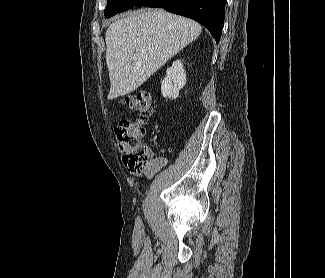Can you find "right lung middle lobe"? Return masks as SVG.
Returning a JSON list of instances; mask_svg holds the SVG:
<instances>
[{
    "label": "right lung middle lobe",
    "instance_id": "1",
    "mask_svg": "<svg viewBox=\"0 0 325 278\" xmlns=\"http://www.w3.org/2000/svg\"><path fill=\"white\" fill-rule=\"evenodd\" d=\"M136 2L137 0H107L104 15L105 17H111L121 11L132 8Z\"/></svg>",
    "mask_w": 325,
    "mask_h": 278
}]
</instances>
